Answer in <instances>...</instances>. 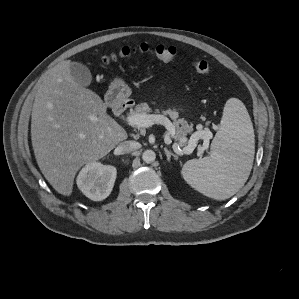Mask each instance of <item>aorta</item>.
<instances>
[{
  "mask_svg": "<svg viewBox=\"0 0 299 299\" xmlns=\"http://www.w3.org/2000/svg\"><path fill=\"white\" fill-rule=\"evenodd\" d=\"M142 159L145 163H152L156 159V154L153 150H145L142 153Z\"/></svg>",
  "mask_w": 299,
  "mask_h": 299,
  "instance_id": "obj_1",
  "label": "aorta"
}]
</instances>
